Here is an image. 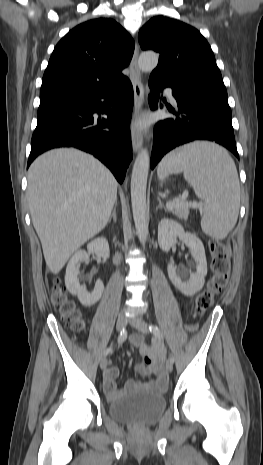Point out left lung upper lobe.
Segmentation results:
<instances>
[{
	"mask_svg": "<svg viewBox=\"0 0 263 465\" xmlns=\"http://www.w3.org/2000/svg\"><path fill=\"white\" fill-rule=\"evenodd\" d=\"M143 50L160 53L151 75L172 83L187 82L208 94L227 97V91L212 49L194 27L176 19L157 16L139 31Z\"/></svg>",
	"mask_w": 263,
	"mask_h": 465,
	"instance_id": "5c2ea615",
	"label": "left lung upper lobe"
}]
</instances>
